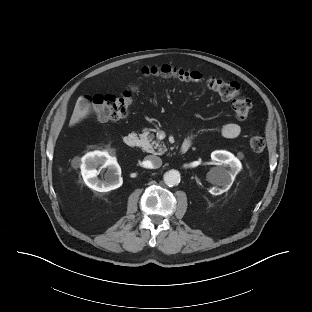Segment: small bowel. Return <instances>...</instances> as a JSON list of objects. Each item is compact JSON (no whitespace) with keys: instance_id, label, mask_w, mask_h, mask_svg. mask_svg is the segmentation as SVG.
<instances>
[{"instance_id":"c3829d8e","label":"small bowel","mask_w":312,"mask_h":312,"mask_svg":"<svg viewBox=\"0 0 312 312\" xmlns=\"http://www.w3.org/2000/svg\"><path fill=\"white\" fill-rule=\"evenodd\" d=\"M222 135L228 139L237 138L241 133V127L235 122H227L222 127ZM192 135L188 136L185 141L192 142Z\"/></svg>"}]
</instances>
